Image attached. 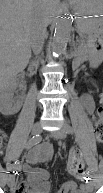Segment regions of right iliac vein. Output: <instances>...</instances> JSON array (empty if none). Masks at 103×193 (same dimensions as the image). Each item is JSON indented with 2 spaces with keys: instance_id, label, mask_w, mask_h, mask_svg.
<instances>
[{
  "instance_id": "right-iliac-vein-1",
  "label": "right iliac vein",
  "mask_w": 103,
  "mask_h": 193,
  "mask_svg": "<svg viewBox=\"0 0 103 193\" xmlns=\"http://www.w3.org/2000/svg\"><path fill=\"white\" fill-rule=\"evenodd\" d=\"M42 131L41 125L39 123H36L32 128V134L37 135L40 134ZM14 185V177L10 176L8 179V186L12 187Z\"/></svg>"
}]
</instances>
